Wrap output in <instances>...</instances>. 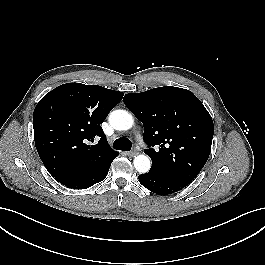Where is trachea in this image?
<instances>
[{"instance_id":"obj_1","label":"trachea","mask_w":265,"mask_h":265,"mask_svg":"<svg viewBox=\"0 0 265 265\" xmlns=\"http://www.w3.org/2000/svg\"><path fill=\"white\" fill-rule=\"evenodd\" d=\"M114 148L122 151H129L131 149L132 143L127 138H119L114 141Z\"/></svg>"}]
</instances>
